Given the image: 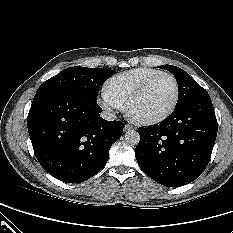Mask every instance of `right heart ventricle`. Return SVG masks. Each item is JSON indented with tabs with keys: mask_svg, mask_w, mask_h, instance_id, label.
<instances>
[{
	"mask_svg": "<svg viewBox=\"0 0 233 233\" xmlns=\"http://www.w3.org/2000/svg\"><path fill=\"white\" fill-rule=\"evenodd\" d=\"M160 72L159 69L149 67L134 68L125 71L106 82L108 91L121 103L125 104L130 95L149 77Z\"/></svg>",
	"mask_w": 233,
	"mask_h": 233,
	"instance_id": "obj_1",
	"label": "right heart ventricle"
}]
</instances>
